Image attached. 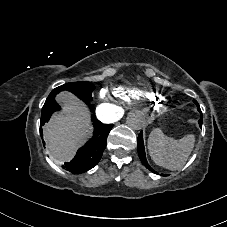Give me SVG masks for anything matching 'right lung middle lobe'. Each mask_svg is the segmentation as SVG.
Masks as SVG:
<instances>
[{"label": "right lung middle lobe", "mask_w": 227, "mask_h": 227, "mask_svg": "<svg viewBox=\"0 0 227 227\" xmlns=\"http://www.w3.org/2000/svg\"><path fill=\"white\" fill-rule=\"evenodd\" d=\"M94 89H95V85L86 81L70 82V83L61 85L51 91L42 108V113L48 110V108L50 107V104L55 101V96L61 91H64V90L70 91L81 100L90 101L92 100V92L94 91Z\"/></svg>", "instance_id": "right-lung-middle-lobe-1"}]
</instances>
